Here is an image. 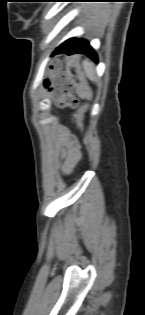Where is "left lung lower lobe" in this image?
I'll return each mask as SVG.
<instances>
[{
  "label": "left lung lower lobe",
  "mask_w": 145,
  "mask_h": 315,
  "mask_svg": "<svg viewBox=\"0 0 145 315\" xmlns=\"http://www.w3.org/2000/svg\"><path fill=\"white\" fill-rule=\"evenodd\" d=\"M60 53H66L68 55L81 53L87 55L94 62L98 61L97 54L94 49L89 45V42L84 39H68L57 47L52 55Z\"/></svg>",
  "instance_id": "left-lung-lower-lobe-1"
}]
</instances>
